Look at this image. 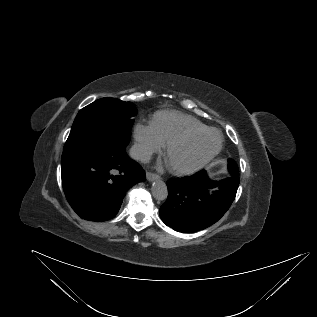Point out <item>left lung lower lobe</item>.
Here are the masks:
<instances>
[{
	"mask_svg": "<svg viewBox=\"0 0 317 317\" xmlns=\"http://www.w3.org/2000/svg\"><path fill=\"white\" fill-rule=\"evenodd\" d=\"M230 171V170H229ZM212 181L204 170L167 182L168 197L160 207L162 221L178 232H196L217 222L229 209L239 186L238 173Z\"/></svg>",
	"mask_w": 317,
	"mask_h": 317,
	"instance_id": "0a47b994",
	"label": "left lung lower lobe"
}]
</instances>
